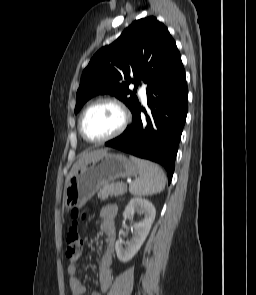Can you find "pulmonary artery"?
Instances as JSON below:
<instances>
[{
	"instance_id": "e3ab8cb5",
	"label": "pulmonary artery",
	"mask_w": 256,
	"mask_h": 295,
	"mask_svg": "<svg viewBox=\"0 0 256 295\" xmlns=\"http://www.w3.org/2000/svg\"><path fill=\"white\" fill-rule=\"evenodd\" d=\"M139 95H140L142 101L146 102V100H147V92H146V86L145 85H140V87H139Z\"/></svg>"
}]
</instances>
